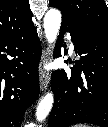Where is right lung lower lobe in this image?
<instances>
[{
    "instance_id": "98d812e1",
    "label": "right lung lower lobe",
    "mask_w": 108,
    "mask_h": 127,
    "mask_svg": "<svg viewBox=\"0 0 108 127\" xmlns=\"http://www.w3.org/2000/svg\"><path fill=\"white\" fill-rule=\"evenodd\" d=\"M41 43L32 26L0 37V126L20 127L26 109L39 95Z\"/></svg>"
}]
</instances>
